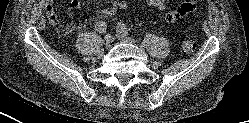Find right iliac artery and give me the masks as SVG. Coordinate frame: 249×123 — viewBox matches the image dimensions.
Returning a JSON list of instances; mask_svg holds the SVG:
<instances>
[{
    "label": "right iliac artery",
    "mask_w": 249,
    "mask_h": 123,
    "mask_svg": "<svg viewBox=\"0 0 249 123\" xmlns=\"http://www.w3.org/2000/svg\"><path fill=\"white\" fill-rule=\"evenodd\" d=\"M95 27L100 33H105L107 29L106 23L104 21H98Z\"/></svg>",
    "instance_id": "right-iliac-artery-1"
}]
</instances>
